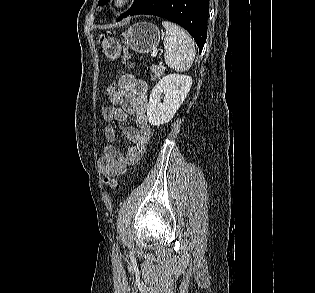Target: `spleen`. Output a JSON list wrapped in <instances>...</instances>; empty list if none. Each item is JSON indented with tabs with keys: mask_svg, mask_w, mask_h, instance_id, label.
Here are the masks:
<instances>
[{
	"mask_svg": "<svg viewBox=\"0 0 315 293\" xmlns=\"http://www.w3.org/2000/svg\"><path fill=\"white\" fill-rule=\"evenodd\" d=\"M166 30L164 59L175 71H187L193 64L196 50L192 37L181 27L169 21L162 22Z\"/></svg>",
	"mask_w": 315,
	"mask_h": 293,
	"instance_id": "1",
	"label": "spleen"
}]
</instances>
